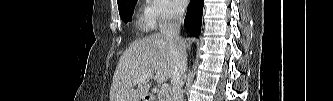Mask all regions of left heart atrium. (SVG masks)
I'll return each instance as SVG.
<instances>
[{
    "label": "left heart atrium",
    "mask_w": 333,
    "mask_h": 101,
    "mask_svg": "<svg viewBox=\"0 0 333 101\" xmlns=\"http://www.w3.org/2000/svg\"><path fill=\"white\" fill-rule=\"evenodd\" d=\"M173 3L180 11L184 10L187 5L186 0H174Z\"/></svg>",
    "instance_id": "39dd6f15"
}]
</instances>
